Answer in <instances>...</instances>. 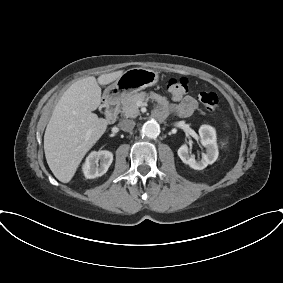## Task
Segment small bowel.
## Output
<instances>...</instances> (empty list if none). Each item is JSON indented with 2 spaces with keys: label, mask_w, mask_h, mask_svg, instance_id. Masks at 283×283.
<instances>
[{
  "label": "small bowel",
  "mask_w": 283,
  "mask_h": 283,
  "mask_svg": "<svg viewBox=\"0 0 283 283\" xmlns=\"http://www.w3.org/2000/svg\"><path fill=\"white\" fill-rule=\"evenodd\" d=\"M174 100L177 102V105L174 106L176 112L184 117L190 116L197 109V100L190 95L176 97ZM163 107H166L163 105ZM162 113V111H160Z\"/></svg>",
  "instance_id": "obj_1"
}]
</instances>
